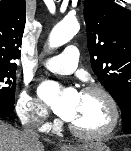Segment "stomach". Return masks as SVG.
<instances>
[{
    "instance_id": "0dacf381",
    "label": "stomach",
    "mask_w": 131,
    "mask_h": 151,
    "mask_svg": "<svg viewBox=\"0 0 131 151\" xmlns=\"http://www.w3.org/2000/svg\"><path fill=\"white\" fill-rule=\"evenodd\" d=\"M64 151H110L101 141H90L77 147H68Z\"/></svg>"
}]
</instances>
